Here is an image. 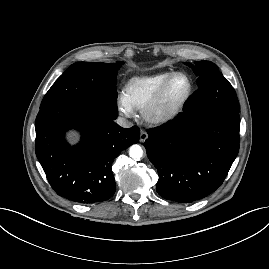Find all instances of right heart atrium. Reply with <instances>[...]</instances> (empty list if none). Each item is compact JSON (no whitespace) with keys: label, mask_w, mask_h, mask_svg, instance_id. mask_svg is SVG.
I'll return each instance as SVG.
<instances>
[{"label":"right heart atrium","mask_w":269,"mask_h":269,"mask_svg":"<svg viewBox=\"0 0 269 269\" xmlns=\"http://www.w3.org/2000/svg\"><path fill=\"white\" fill-rule=\"evenodd\" d=\"M116 105L119 112L126 117H130L134 113V109L130 106L124 95H118Z\"/></svg>","instance_id":"obj_1"}]
</instances>
